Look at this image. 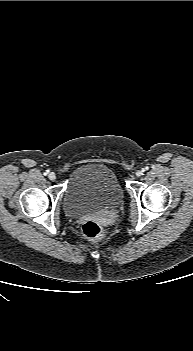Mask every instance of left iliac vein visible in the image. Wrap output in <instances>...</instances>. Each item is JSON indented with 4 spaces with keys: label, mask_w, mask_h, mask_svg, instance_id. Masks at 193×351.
Returning a JSON list of instances; mask_svg holds the SVG:
<instances>
[{
    "label": "left iliac vein",
    "mask_w": 193,
    "mask_h": 351,
    "mask_svg": "<svg viewBox=\"0 0 193 351\" xmlns=\"http://www.w3.org/2000/svg\"><path fill=\"white\" fill-rule=\"evenodd\" d=\"M142 174H143V171H142V170H137V171H136V176H137V177L142 176Z\"/></svg>",
    "instance_id": "left-iliac-vein-1"
}]
</instances>
